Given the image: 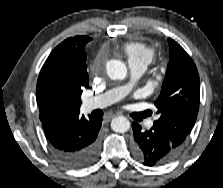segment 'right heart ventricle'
I'll list each match as a JSON object with an SVG mask.
<instances>
[{
	"instance_id": "1",
	"label": "right heart ventricle",
	"mask_w": 223,
	"mask_h": 188,
	"mask_svg": "<svg viewBox=\"0 0 223 188\" xmlns=\"http://www.w3.org/2000/svg\"><path fill=\"white\" fill-rule=\"evenodd\" d=\"M122 52L127 57L128 62H137L144 65L150 64L155 57L153 47L137 41L126 42L122 46Z\"/></svg>"
}]
</instances>
